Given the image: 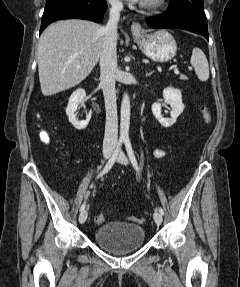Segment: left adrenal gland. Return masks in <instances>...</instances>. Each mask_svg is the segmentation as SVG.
<instances>
[{"mask_svg":"<svg viewBox=\"0 0 240 287\" xmlns=\"http://www.w3.org/2000/svg\"><path fill=\"white\" fill-rule=\"evenodd\" d=\"M153 72L146 73V77L150 76Z\"/></svg>","mask_w":240,"mask_h":287,"instance_id":"obj_1","label":"left adrenal gland"}]
</instances>
